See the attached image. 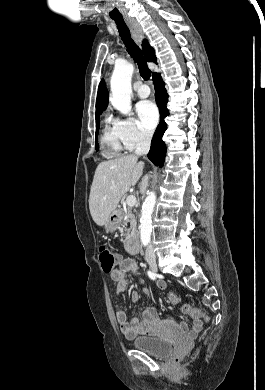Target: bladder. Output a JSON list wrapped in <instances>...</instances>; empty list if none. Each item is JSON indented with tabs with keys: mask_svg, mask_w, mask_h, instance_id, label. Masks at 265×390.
Listing matches in <instances>:
<instances>
[{
	"mask_svg": "<svg viewBox=\"0 0 265 390\" xmlns=\"http://www.w3.org/2000/svg\"><path fill=\"white\" fill-rule=\"evenodd\" d=\"M131 344L135 349L154 356L166 355L173 351L171 342L152 335L137 336Z\"/></svg>",
	"mask_w": 265,
	"mask_h": 390,
	"instance_id": "1",
	"label": "bladder"
}]
</instances>
